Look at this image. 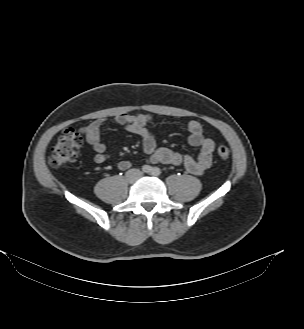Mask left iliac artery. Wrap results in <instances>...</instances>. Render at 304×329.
<instances>
[{
  "mask_svg": "<svg viewBox=\"0 0 304 329\" xmlns=\"http://www.w3.org/2000/svg\"><path fill=\"white\" fill-rule=\"evenodd\" d=\"M152 175H154V176H158V175H160V169L159 168H157V167H154L153 169H152Z\"/></svg>",
  "mask_w": 304,
  "mask_h": 329,
  "instance_id": "44dca946",
  "label": "left iliac artery"
}]
</instances>
